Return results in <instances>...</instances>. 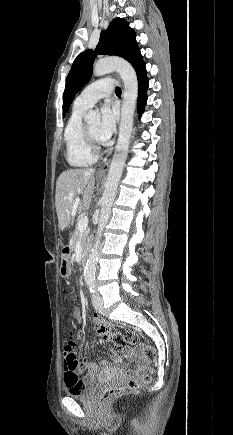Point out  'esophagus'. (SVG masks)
I'll list each match as a JSON object with an SVG mask.
<instances>
[{
	"mask_svg": "<svg viewBox=\"0 0 233 435\" xmlns=\"http://www.w3.org/2000/svg\"><path fill=\"white\" fill-rule=\"evenodd\" d=\"M110 165V159L107 160L97 171L98 175H105Z\"/></svg>",
	"mask_w": 233,
	"mask_h": 435,
	"instance_id": "obj_1",
	"label": "esophagus"
}]
</instances>
